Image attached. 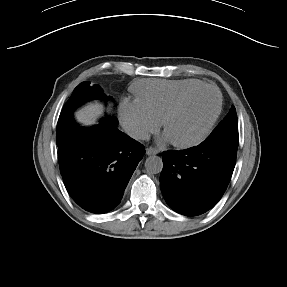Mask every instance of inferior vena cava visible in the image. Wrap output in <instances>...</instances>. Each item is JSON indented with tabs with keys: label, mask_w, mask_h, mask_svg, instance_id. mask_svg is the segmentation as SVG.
<instances>
[{
	"label": "inferior vena cava",
	"mask_w": 287,
	"mask_h": 287,
	"mask_svg": "<svg viewBox=\"0 0 287 287\" xmlns=\"http://www.w3.org/2000/svg\"><path fill=\"white\" fill-rule=\"evenodd\" d=\"M124 131L130 137L137 140H149L150 134L144 128L137 124H126L124 126Z\"/></svg>",
	"instance_id": "obj_1"
}]
</instances>
